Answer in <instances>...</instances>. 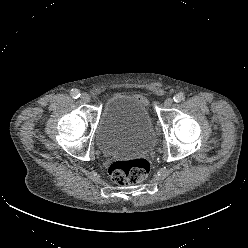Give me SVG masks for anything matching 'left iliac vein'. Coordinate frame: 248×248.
<instances>
[{
	"label": "left iliac vein",
	"mask_w": 248,
	"mask_h": 248,
	"mask_svg": "<svg viewBox=\"0 0 248 248\" xmlns=\"http://www.w3.org/2000/svg\"><path fill=\"white\" fill-rule=\"evenodd\" d=\"M173 104V99L172 98H167L165 101H164V107L166 108H170Z\"/></svg>",
	"instance_id": "1"
}]
</instances>
